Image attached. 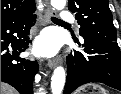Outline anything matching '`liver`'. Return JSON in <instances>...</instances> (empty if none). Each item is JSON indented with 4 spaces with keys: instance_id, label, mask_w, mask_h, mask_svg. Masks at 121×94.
I'll return each mask as SVG.
<instances>
[{
    "instance_id": "1",
    "label": "liver",
    "mask_w": 121,
    "mask_h": 94,
    "mask_svg": "<svg viewBox=\"0 0 121 94\" xmlns=\"http://www.w3.org/2000/svg\"><path fill=\"white\" fill-rule=\"evenodd\" d=\"M1 94H18V92L8 84L1 82Z\"/></svg>"
}]
</instances>
